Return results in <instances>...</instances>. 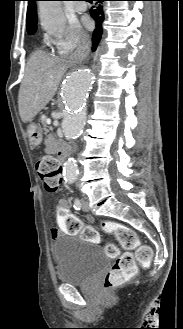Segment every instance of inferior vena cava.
I'll return each mask as SVG.
<instances>
[{"label": "inferior vena cava", "instance_id": "inferior-vena-cava-1", "mask_svg": "<svg viewBox=\"0 0 183 329\" xmlns=\"http://www.w3.org/2000/svg\"><path fill=\"white\" fill-rule=\"evenodd\" d=\"M87 54H88V48L85 45H81L80 47L77 48L74 54V59L80 60L84 58Z\"/></svg>", "mask_w": 183, "mask_h": 329}]
</instances>
